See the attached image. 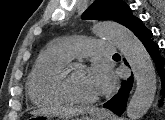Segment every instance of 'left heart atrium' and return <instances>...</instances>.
<instances>
[{
  "instance_id": "1",
  "label": "left heart atrium",
  "mask_w": 165,
  "mask_h": 120,
  "mask_svg": "<svg viewBox=\"0 0 165 120\" xmlns=\"http://www.w3.org/2000/svg\"><path fill=\"white\" fill-rule=\"evenodd\" d=\"M90 78L99 94L108 93L114 86V76L110 68L96 63L89 69Z\"/></svg>"
}]
</instances>
